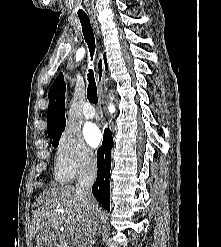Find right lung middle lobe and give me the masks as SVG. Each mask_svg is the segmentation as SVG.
Wrapping results in <instances>:
<instances>
[{
  "instance_id": "dd1d6c3e",
  "label": "right lung middle lobe",
  "mask_w": 221,
  "mask_h": 247,
  "mask_svg": "<svg viewBox=\"0 0 221 247\" xmlns=\"http://www.w3.org/2000/svg\"><path fill=\"white\" fill-rule=\"evenodd\" d=\"M61 137V134L56 136V137H53V138H50V142L52 143V145L56 148L59 144V139Z\"/></svg>"
}]
</instances>
